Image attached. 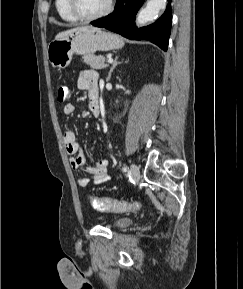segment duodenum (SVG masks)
Segmentation results:
<instances>
[{
  "label": "duodenum",
  "instance_id": "obj_1",
  "mask_svg": "<svg viewBox=\"0 0 243 289\" xmlns=\"http://www.w3.org/2000/svg\"><path fill=\"white\" fill-rule=\"evenodd\" d=\"M98 95H99V93H96V94H95V97L98 98Z\"/></svg>",
  "mask_w": 243,
  "mask_h": 289
}]
</instances>
